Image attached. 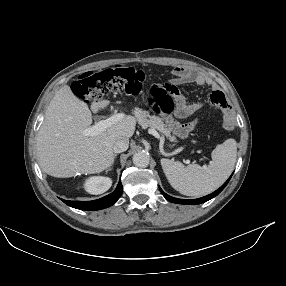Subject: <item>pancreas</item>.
I'll return each instance as SVG.
<instances>
[{
    "label": "pancreas",
    "instance_id": "pancreas-1",
    "mask_svg": "<svg viewBox=\"0 0 286 286\" xmlns=\"http://www.w3.org/2000/svg\"><path fill=\"white\" fill-rule=\"evenodd\" d=\"M134 115L138 123L143 127H151L158 130L163 136H166L170 141H176L175 137L171 136L170 129L163 122V120L156 116L149 115L148 111L136 108Z\"/></svg>",
    "mask_w": 286,
    "mask_h": 286
}]
</instances>
